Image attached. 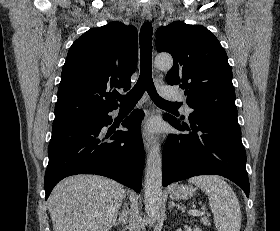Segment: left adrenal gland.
Here are the masks:
<instances>
[{
    "mask_svg": "<svg viewBox=\"0 0 280 231\" xmlns=\"http://www.w3.org/2000/svg\"><path fill=\"white\" fill-rule=\"evenodd\" d=\"M173 205H176V207H178V209H184V207H182V205H180V203H175V201H170V205L169 207H173Z\"/></svg>",
    "mask_w": 280,
    "mask_h": 231,
    "instance_id": "1",
    "label": "left adrenal gland"
}]
</instances>
